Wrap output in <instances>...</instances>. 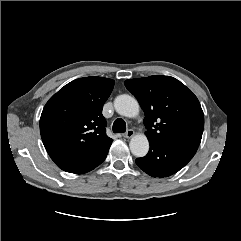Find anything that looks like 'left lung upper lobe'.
<instances>
[{
	"instance_id": "1",
	"label": "left lung upper lobe",
	"mask_w": 241,
	"mask_h": 241,
	"mask_svg": "<svg viewBox=\"0 0 241 241\" xmlns=\"http://www.w3.org/2000/svg\"><path fill=\"white\" fill-rule=\"evenodd\" d=\"M125 86L144 111L148 139L199 146L204 115L197 97L184 84L154 75L128 79Z\"/></svg>"
}]
</instances>
